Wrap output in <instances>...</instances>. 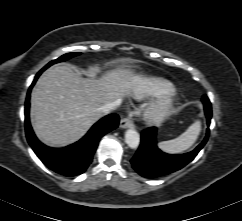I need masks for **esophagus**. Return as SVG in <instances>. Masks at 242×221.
Listing matches in <instances>:
<instances>
[{"label":"esophagus","mask_w":242,"mask_h":221,"mask_svg":"<svg viewBox=\"0 0 242 221\" xmlns=\"http://www.w3.org/2000/svg\"><path fill=\"white\" fill-rule=\"evenodd\" d=\"M120 127L124 128V129L125 128H132L133 127V123H132V121L129 118L125 117V118L121 119Z\"/></svg>","instance_id":"esophagus-1"}]
</instances>
